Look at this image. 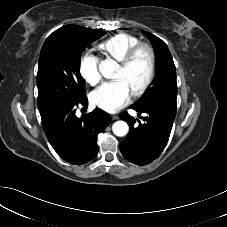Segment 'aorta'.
<instances>
[{"instance_id": "aorta-1", "label": "aorta", "mask_w": 227, "mask_h": 227, "mask_svg": "<svg viewBox=\"0 0 227 227\" xmlns=\"http://www.w3.org/2000/svg\"><path fill=\"white\" fill-rule=\"evenodd\" d=\"M116 69V62L106 60L101 66V73L106 78H111ZM113 133L118 137L126 136L129 132V126L125 121H116L112 125Z\"/></svg>"}]
</instances>
